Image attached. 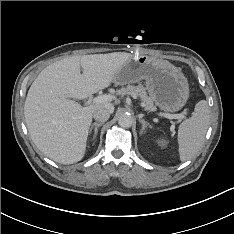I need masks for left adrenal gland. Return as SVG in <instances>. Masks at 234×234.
Returning <instances> with one entry per match:
<instances>
[{"mask_svg":"<svg viewBox=\"0 0 234 234\" xmlns=\"http://www.w3.org/2000/svg\"><path fill=\"white\" fill-rule=\"evenodd\" d=\"M139 122L142 123L141 134L145 131V128L147 127L152 128V126L148 122H146L144 119L139 118Z\"/></svg>","mask_w":234,"mask_h":234,"instance_id":"1","label":"left adrenal gland"}]
</instances>
